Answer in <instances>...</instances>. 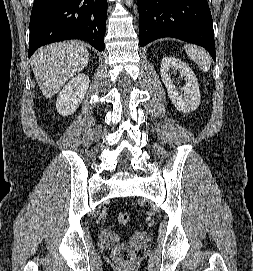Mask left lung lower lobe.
<instances>
[{
	"mask_svg": "<svg viewBox=\"0 0 253 271\" xmlns=\"http://www.w3.org/2000/svg\"><path fill=\"white\" fill-rule=\"evenodd\" d=\"M140 46L174 37L204 47L215 61L213 21L207 0H137Z\"/></svg>",
	"mask_w": 253,
	"mask_h": 271,
	"instance_id": "left-lung-lower-lobe-1",
	"label": "left lung lower lobe"
}]
</instances>
